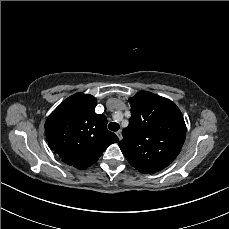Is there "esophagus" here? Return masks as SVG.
Returning a JSON list of instances; mask_svg holds the SVG:
<instances>
[{"label":"esophagus","instance_id":"1","mask_svg":"<svg viewBox=\"0 0 229 229\" xmlns=\"http://www.w3.org/2000/svg\"><path fill=\"white\" fill-rule=\"evenodd\" d=\"M116 135L119 138V140H122L123 136H122V131L121 130L117 131Z\"/></svg>","mask_w":229,"mask_h":229}]
</instances>
